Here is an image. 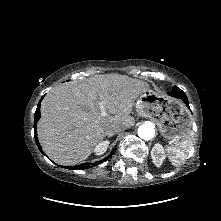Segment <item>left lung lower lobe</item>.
Returning a JSON list of instances; mask_svg holds the SVG:
<instances>
[{"instance_id":"obj_1","label":"left lung lower lobe","mask_w":221,"mask_h":221,"mask_svg":"<svg viewBox=\"0 0 221 221\" xmlns=\"http://www.w3.org/2000/svg\"><path fill=\"white\" fill-rule=\"evenodd\" d=\"M170 96L181 99L188 107H189V102L188 99L186 97V94L184 93V91H182L180 88H178L177 86H174L172 88V91L168 93Z\"/></svg>"}]
</instances>
